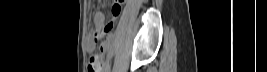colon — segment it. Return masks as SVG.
I'll return each mask as SVG.
<instances>
[{"label": "colon", "mask_w": 267, "mask_h": 72, "mask_svg": "<svg viewBox=\"0 0 267 72\" xmlns=\"http://www.w3.org/2000/svg\"><path fill=\"white\" fill-rule=\"evenodd\" d=\"M114 4H115L114 10L118 12L120 10V6H119L120 1H116ZM114 26H115V21L109 22L105 27V31L111 32ZM88 70L89 72H100L101 71V60L98 55H95L90 58L88 62Z\"/></svg>", "instance_id": "5ec220e1"}]
</instances>
